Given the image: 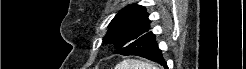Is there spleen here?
Wrapping results in <instances>:
<instances>
[{"label": "spleen", "instance_id": "obj_1", "mask_svg": "<svg viewBox=\"0 0 246 69\" xmlns=\"http://www.w3.org/2000/svg\"><path fill=\"white\" fill-rule=\"evenodd\" d=\"M115 69H158L150 63L136 59H127L119 63Z\"/></svg>", "mask_w": 246, "mask_h": 69}]
</instances>
